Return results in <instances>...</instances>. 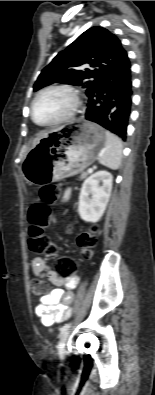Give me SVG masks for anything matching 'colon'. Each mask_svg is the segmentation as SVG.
Here are the masks:
<instances>
[{
  "mask_svg": "<svg viewBox=\"0 0 155 395\" xmlns=\"http://www.w3.org/2000/svg\"><path fill=\"white\" fill-rule=\"evenodd\" d=\"M59 190L55 185H47L40 189L39 196L41 203L33 205L28 214L29 220V239L28 246L30 251L53 255L56 253V246L49 240L44 233V227L48 223L50 208L49 204L53 203L58 197ZM98 226L93 225L88 231L82 232L77 237V244L82 254L89 258L92 249L96 244L98 236ZM58 275H64L63 279L67 280V275H77L78 270L75 268V262L68 258L67 254H60ZM47 289V284L41 279L31 281V292L34 296L42 295Z\"/></svg>",
  "mask_w": 155,
  "mask_h": 395,
  "instance_id": "obj_1",
  "label": "colon"
}]
</instances>
